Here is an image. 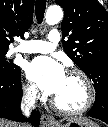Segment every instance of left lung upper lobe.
<instances>
[{
	"label": "left lung upper lobe",
	"mask_w": 108,
	"mask_h": 127,
	"mask_svg": "<svg viewBox=\"0 0 108 127\" xmlns=\"http://www.w3.org/2000/svg\"><path fill=\"white\" fill-rule=\"evenodd\" d=\"M65 12L63 48L93 81L95 100H108V12L95 0H57ZM65 37H69L64 41Z\"/></svg>",
	"instance_id": "1"
}]
</instances>
